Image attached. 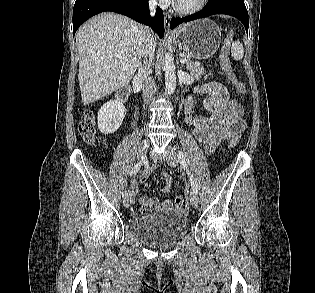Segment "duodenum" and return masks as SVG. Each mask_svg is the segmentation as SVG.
Returning a JSON list of instances; mask_svg holds the SVG:
<instances>
[{
	"label": "duodenum",
	"mask_w": 315,
	"mask_h": 293,
	"mask_svg": "<svg viewBox=\"0 0 315 293\" xmlns=\"http://www.w3.org/2000/svg\"><path fill=\"white\" fill-rule=\"evenodd\" d=\"M129 96V89L123 88L119 90L116 94V99L120 102H124Z\"/></svg>",
	"instance_id": "410a0bca"
}]
</instances>
